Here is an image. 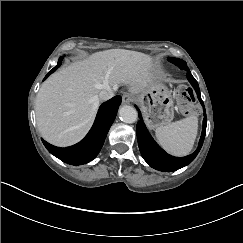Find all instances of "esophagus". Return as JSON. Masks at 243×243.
<instances>
[{
    "instance_id": "34e87169",
    "label": "esophagus",
    "mask_w": 243,
    "mask_h": 243,
    "mask_svg": "<svg viewBox=\"0 0 243 243\" xmlns=\"http://www.w3.org/2000/svg\"><path fill=\"white\" fill-rule=\"evenodd\" d=\"M132 99H133L132 94H130V93H125V94L123 95L122 102H123V104H128L129 102L132 101Z\"/></svg>"
}]
</instances>
